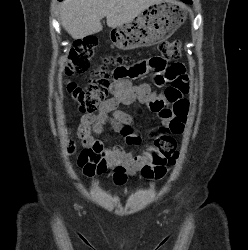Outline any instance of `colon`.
<instances>
[{
    "label": "colon",
    "instance_id": "5ec220e1",
    "mask_svg": "<svg viewBox=\"0 0 248 250\" xmlns=\"http://www.w3.org/2000/svg\"><path fill=\"white\" fill-rule=\"evenodd\" d=\"M96 46L97 43L94 38L77 41L67 57L64 68L65 75L73 76L77 73L88 71ZM157 49L160 56L153 58L151 62L152 66L157 70L154 76V83L158 87L167 86L164 92L166 102L173 104L177 100H181L180 95L171 87L175 76L172 74H162L161 64L165 60L179 58L181 55V45L176 40H166L159 42ZM104 62L123 67L128 62V59L123 56H113L106 58ZM123 75L135 77V69L132 67L129 71H124ZM111 83V73L107 70L106 66H99L92 70V79L86 87H82L74 81H68L66 88L80 111L93 113L105 102ZM166 102L159 101L155 106L164 107L166 106ZM176 109L178 111L182 110L181 102L176 104ZM154 148L153 162L151 165L146 166L143 171L148 177L161 178L168 171V167L175 164L179 153L175 139L171 134H159L154 142ZM70 150L73 151V146L70 147ZM96 158L97 155L94 150L83 149L79 154V166H89L94 169L92 162Z\"/></svg>",
    "mask_w": 248,
    "mask_h": 250
}]
</instances>
